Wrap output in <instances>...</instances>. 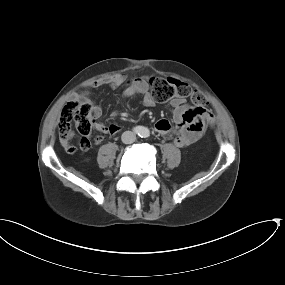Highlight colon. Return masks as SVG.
<instances>
[{
	"instance_id": "1",
	"label": "colon",
	"mask_w": 285,
	"mask_h": 285,
	"mask_svg": "<svg viewBox=\"0 0 285 285\" xmlns=\"http://www.w3.org/2000/svg\"><path fill=\"white\" fill-rule=\"evenodd\" d=\"M150 92L154 99L160 102L169 101L176 97H189L191 102L198 108H204L207 104L205 96L194 91L189 84L172 78L153 77L150 80ZM60 136L63 142L66 141L68 126L74 123L79 134L84 138L90 137L93 123L91 118V106L87 100H69L65 103L60 118ZM213 118L210 115L208 123L212 124Z\"/></svg>"
}]
</instances>
